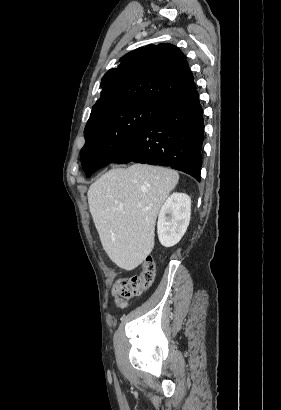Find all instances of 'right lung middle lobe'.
<instances>
[{"mask_svg": "<svg viewBox=\"0 0 281 410\" xmlns=\"http://www.w3.org/2000/svg\"><path fill=\"white\" fill-rule=\"evenodd\" d=\"M158 107L131 104L102 109L90 116L84 130L82 166L87 177L112 163L138 137Z\"/></svg>", "mask_w": 281, "mask_h": 410, "instance_id": "1", "label": "right lung middle lobe"}]
</instances>
